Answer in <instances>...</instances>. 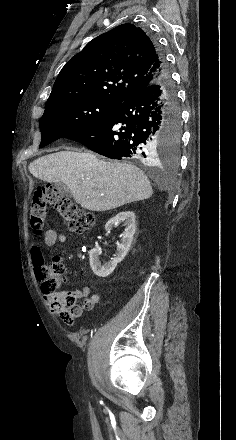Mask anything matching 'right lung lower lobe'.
<instances>
[{
    "mask_svg": "<svg viewBox=\"0 0 236 440\" xmlns=\"http://www.w3.org/2000/svg\"><path fill=\"white\" fill-rule=\"evenodd\" d=\"M157 51L162 75L120 103L105 119L69 139L112 159L152 163V146L159 143L162 133L180 127L175 91L158 47Z\"/></svg>",
    "mask_w": 236,
    "mask_h": 440,
    "instance_id": "98d812e1",
    "label": "right lung lower lobe"
}]
</instances>
